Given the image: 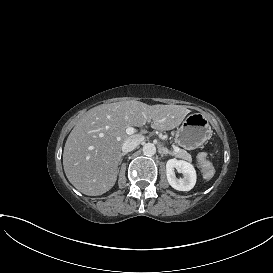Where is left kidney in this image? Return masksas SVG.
Returning a JSON list of instances; mask_svg holds the SVG:
<instances>
[{"label": "left kidney", "mask_w": 273, "mask_h": 273, "mask_svg": "<svg viewBox=\"0 0 273 273\" xmlns=\"http://www.w3.org/2000/svg\"><path fill=\"white\" fill-rule=\"evenodd\" d=\"M174 168L181 173L179 177H176ZM167 179L174 189L179 191H189L196 185L197 172L190 162L171 159L167 163Z\"/></svg>", "instance_id": "obj_1"}]
</instances>
